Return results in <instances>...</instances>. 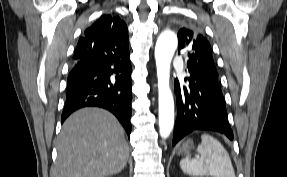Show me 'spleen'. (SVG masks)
Wrapping results in <instances>:
<instances>
[{
    "mask_svg": "<svg viewBox=\"0 0 287 177\" xmlns=\"http://www.w3.org/2000/svg\"><path fill=\"white\" fill-rule=\"evenodd\" d=\"M197 152L199 157L180 161L183 172L196 177H235L230 156L217 139L207 134L202 135Z\"/></svg>",
    "mask_w": 287,
    "mask_h": 177,
    "instance_id": "3e777b00",
    "label": "spleen"
}]
</instances>
